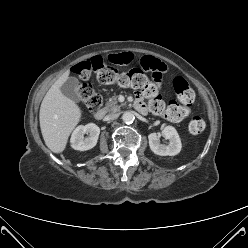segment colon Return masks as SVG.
I'll list each match as a JSON object with an SVG mask.
<instances>
[{"label":"colon","instance_id":"obj_1","mask_svg":"<svg viewBox=\"0 0 248 248\" xmlns=\"http://www.w3.org/2000/svg\"><path fill=\"white\" fill-rule=\"evenodd\" d=\"M91 69H98L97 79L102 84H116L124 88L140 89L149 100L150 110L172 121L180 120L185 115L186 109L191 107L195 101V93L183 77L177 76L172 81L178 103L166 105L159 95L157 82L160 78L154 76V81H152L138 69L120 73L112 66H103L102 58H94L75 68V72L82 81L77 88V94L92 113L100 109L103 101L89 82ZM204 129L205 122L200 116H194L190 120L189 131L192 134H200Z\"/></svg>","mask_w":248,"mask_h":248}]
</instances>
